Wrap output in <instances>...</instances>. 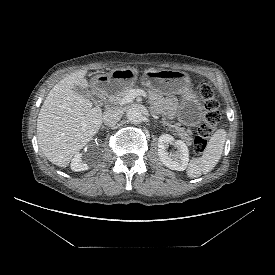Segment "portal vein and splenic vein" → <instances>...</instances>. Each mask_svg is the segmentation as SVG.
I'll use <instances>...</instances> for the list:
<instances>
[{
  "label": "portal vein and splenic vein",
  "instance_id": "1",
  "mask_svg": "<svg viewBox=\"0 0 275 275\" xmlns=\"http://www.w3.org/2000/svg\"><path fill=\"white\" fill-rule=\"evenodd\" d=\"M142 95L144 97L147 96L146 92L142 89H132L129 93L125 96V98L121 101V105L130 103L134 100L137 96Z\"/></svg>",
  "mask_w": 275,
  "mask_h": 275
}]
</instances>
